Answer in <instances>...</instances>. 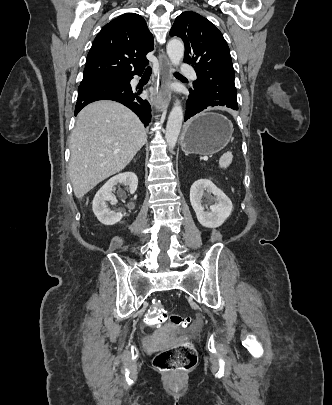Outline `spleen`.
<instances>
[{
	"label": "spleen",
	"instance_id": "spleen-1",
	"mask_svg": "<svg viewBox=\"0 0 332 405\" xmlns=\"http://www.w3.org/2000/svg\"><path fill=\"white\" fill-rule=\"evenodd\" d=\"M232 159H233L232 152L228 151L224 153L219 160L220 167L227 168L231 164Z\"/></svg>",
	"mask_w": 332,
	"mask_h": 405
}]
</instances>
